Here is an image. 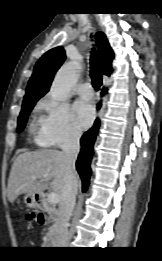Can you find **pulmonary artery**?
<instances>
[{"instance_id": "e3ab8cb5", "label": "pulmonary artery", "mask_w": 162, "mask_h": 261, "mask_svg": "<svg viewBox=\"0 0 162 261\" xmlns=\"http://www.w3.org/2000/svg\"><path fill=\"white\" fill-rule=\"evenodd\" d=\"M78 94L82 98H91L94 94L89 82L83 83L78 87Z\"/></svg>"}]
</instances>
